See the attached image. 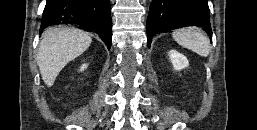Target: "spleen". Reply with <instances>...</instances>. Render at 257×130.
Masks as SVG:
<instances>
[{
    "label": "spleen",
    "mask_w": 257,
    "mask_h": 130,
    "mask_svg": "<svg viewBox=\"0 0 257 130\" xmlns=\"http://www.w3.org/2000/svg\"><path fill=\"white\" fill-rule=\"evenodd\" d=\"M174 40L189 50L207 57L210 52V43L207 36L196 27L179 29L172 34Z\"/></svg>",
    "instance_id": "1"
}]
</instances>
